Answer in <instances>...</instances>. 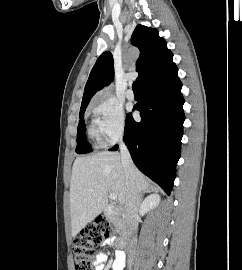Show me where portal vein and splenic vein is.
Masks as SVG:
<instances>
[{
  "label": "portal vein and splenic vein",
  "mask_w": 242,
  "mask_h": 270,
  "mask_svg": "<svg viewBox=\"0 0 242 270\" xmlns=\"http://www.w3.org/2000/svg\"><path fill=\"white\" fill-rule=\"evenodd\" d=\"M109 197L112 200H116L117 199V195L115 193H110Z\"/></svg>",
  "instance_id": "obj_1"
}]
</instances>
